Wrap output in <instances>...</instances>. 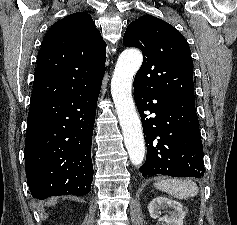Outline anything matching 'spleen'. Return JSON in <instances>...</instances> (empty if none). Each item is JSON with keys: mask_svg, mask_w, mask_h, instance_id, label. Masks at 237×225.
I'll return each mask as SVG.
<instances>
[{"mask_svg": "<svg viewBox=\"0 0 237 225\" xmlns=\"http://www.w3.org/2000/svg\"><path fill=\"white\" fill-rule=\"evenodd\" d=\"M154 186L178 199L194 197L198 194L197 184L190 179H163L154 183Z\"/></svg>", "mask_w": 237, "mask_h": 225, "instance_id": "1", "label": "spleen"}]
</instances>
